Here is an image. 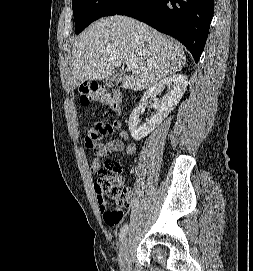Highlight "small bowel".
I'll list each match as a JSON object with an SVG mask.
<instances>
[{"mask_svg": "<svg viewBox=\"0 0 253 271\" xmlns=\"http://www.w3.org/2000/svg\"><path fill=\"white\" fill-rule=\"evenodd\" d=\"M114 132H117L118 138L110 140L107 143L101 141L103 137ZM125 142H127L126 145ZM85 145L93 152L90 163L92 173H96L99 170L101 160L104 156L121 151L131 156L136 151V145L132 141L131 135L123 128L120 121H114L112 123L106 121L95 122L85 137Z\"/></svg>", "mask_w": 253, "mask_h": 271, "instance_id": "c3829d8e", "label": "small bowel"}]
</instances>
